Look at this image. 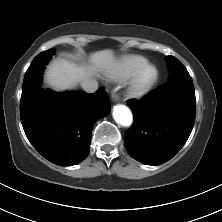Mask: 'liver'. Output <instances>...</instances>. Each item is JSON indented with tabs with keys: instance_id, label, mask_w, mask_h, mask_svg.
Returning a JSON list of instances; mask_svg holds the SVG:
<instances>
[{
	"instance_id": "1",
	"label": "liver",
	"mask_w": 222,
	"mask_h": 222,
	"mask_svg": "<svg viewBox=\"0 0 222 222\" xmlns=\"http://www.w3.org/2000/svg\"><path fill=\"white\" fill-rule=\"evenodd\" d=\"M115 66L112 50H101L90 54L87 64L77 65L66 59L54 60L44 75L46 87L57 91L71 89L79 82L92 79L100 72L109 71Z\"/></svg>"
}]
</instances>
